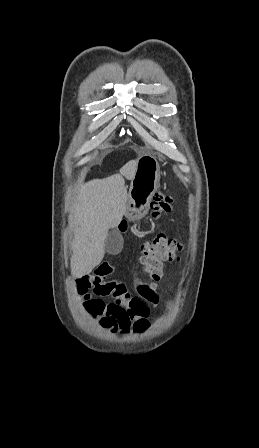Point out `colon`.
I'll list each match as a JSON object with an SVG mask.
<instances>
[{
  "instance_id": "5ec220e1",
  "label": "colon",
  "mask_w": 259,
  "mask_h": 448,
  "mask_svg": "<svg viewBox=\"0 0 259 448\" xmlns=\"http://www.w3.org/2000/svg\"><path fill=\"white\" fill-rule=\"evenodd\" d=\"M172 197L161 191L155 193L151 203L152 216L160 218L167 215L172 209ZM141 262L144 270L154 288L163 274L165 262L178 259L181 246L178 241L165 235H158L153 240L142 245Z\"/></svg>"
}]
</instances>
